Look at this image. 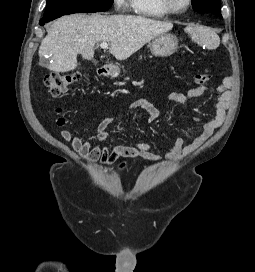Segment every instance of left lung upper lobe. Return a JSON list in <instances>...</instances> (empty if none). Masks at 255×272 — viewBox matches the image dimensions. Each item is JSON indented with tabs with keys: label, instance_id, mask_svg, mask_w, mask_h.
Segmentation results:
<instances>
[{
	"label": "left lung upper lobe",
	"instance_id": "left-lung-upper-lobe-1",
	"mask_svg": "<svg viewBox=\"0 0 255 272\" xmlns=\"http://www.w3.org/2000/svg\"><path fill=\"white\" fill-rule=\"evenodd\" d=\"M192 6L198 13H212L222 17L220 13V0H192Z\"/></svg>",
	"mask_w": 255,
	"mask_h": 272
}]
</instances>
